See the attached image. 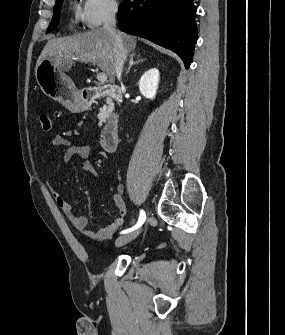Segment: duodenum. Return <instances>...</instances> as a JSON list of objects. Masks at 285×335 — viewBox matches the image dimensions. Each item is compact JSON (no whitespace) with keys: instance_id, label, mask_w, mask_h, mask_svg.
<instances>
[{"instance_id":"obj_1","label":"duodenum","mask_w":285,"mask_h":335,"mask_svg":"<svg viewBox=\"0 0 285 335\" xmlns=\"http://www.w3.org/2000/svg\"><path fill=\"white\" fill-rule=\"evenodd\" d=\"M100 97L109 98L113 109V105L121 100V89L117 85L107 84L101 87L86 88L82 93V99L86 104ZM100 142L106 151L113 152L116 150L119 143V116L115 112L110 113L103 125Z\"/></svg>"}]
</instances>
